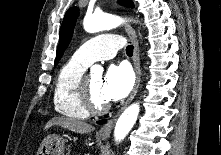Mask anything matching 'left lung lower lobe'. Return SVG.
I'll return each instance as SVG.
<instances>
[{
    "label": "left lung lower lobe",
    "mask_w": 221,
    "mask_h": 155,
    "mask_svg": "<svg viewBox=\"0 0 221 155\" xmlns=\"http://www.w3.org/2000/svg\"><path fill=\"white\" fill-rule=\"evenodd\" d=\"M98 123H99V124H103V123H105V120H101V121H99Z\"/></svg>",
    "instance_id": "1"
}]
</instances>
